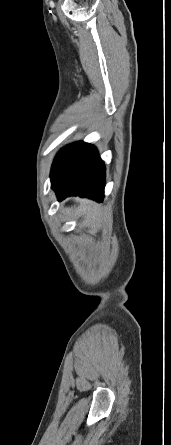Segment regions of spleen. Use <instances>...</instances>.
Here are the masks:
<instances>
[{
    "label": "spleen",
    "instance_id": "spleen-1",
    "mask_svg": "<svg viewBox=\"0 0 171 445\" xmlns=\"http://www.w3.org/2000/svg\"><path fill=\"white\" fill-rule=\"evenodd\" d=\"M90 210L89 206L88 208L85 206L83 209L80 210L81 214H86Z\"/></svg>",
    "mask_w": 171,
    "mask_h": 445
}]
</instances>
